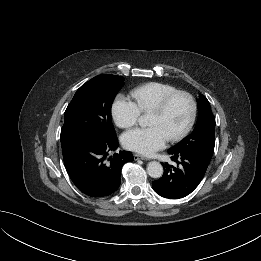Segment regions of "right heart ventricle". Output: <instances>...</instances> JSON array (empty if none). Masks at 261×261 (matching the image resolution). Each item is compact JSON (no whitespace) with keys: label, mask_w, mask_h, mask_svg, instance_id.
Listing matches in <instances>:
<instances>
[{"label":"right heart ventricle","mask_w":261,"mask_h":261,"mask_svg":"<svg viewBox=\"0 0 261 261\" xmlns=\"http://www.w3.org/2000/svg\"><path fill=\"white\" fill-rule=\"evenodd\" d=\"M179 91L176 87L162 83H146L133 91V96L141 112H151L171 94Z\"/></svg>","instance_id":"obj_1"}]
</instances>
